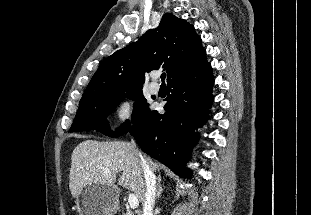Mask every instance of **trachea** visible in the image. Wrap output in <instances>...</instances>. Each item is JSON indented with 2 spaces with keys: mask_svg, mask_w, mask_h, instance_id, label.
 Returning a JSON list of instances; mask_svg holds the SVG:
<instances>
[{
  "mask_svg": "<svg viewBox=\"0 0 311 215\" xmlns=\"http://www.w3.org/2000/svg\"><path fill=\"white\" fill-rule=\"evenodd\" d=\"M165 78H166V74H165V73L161 74L162 84H165V83H164Z\"/></svg>",
  "mask_w": 311,
  "mask_h": 215,
  "instance_id": "obj_1",
  "label": "trachea"
}]
</instances>
